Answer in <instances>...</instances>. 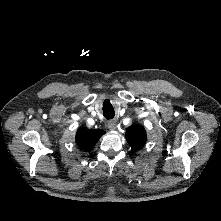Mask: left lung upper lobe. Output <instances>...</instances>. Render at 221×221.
Here are the masks:
<instances>
[{"instance_id": "1", "label": "left lung upper lobe", "mask_w": 221, "mask_h": 221, "mask_svg": "<svg viewBox=\"0 0 221 221\" xmlns=\"http://www.w3.org/2000/svg\"><path fill=\"white\" fill-rule=\"evenodd\" d=\"M126 139L134 151L141 149L147 140L144 127L139 124L128 127L126 129Z\"/></svg>"}]
</instances>
